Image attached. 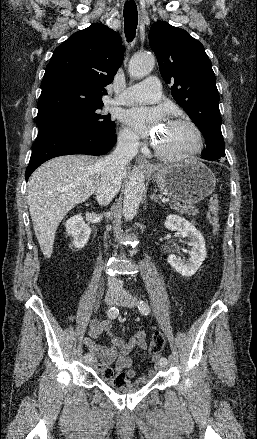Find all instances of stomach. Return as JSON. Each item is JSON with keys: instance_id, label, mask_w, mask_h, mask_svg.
Wrapping results in <instances>:
<instances>
[{"instance_id": "obj_1", "label": "stomach", "mask_w": 257, "mask_h": 439, "mask_svg": "<svg viewBox=\"0 0 257 439\" xmlns=\"http://www.w3.org/2000/svg\"><path fill=\"white\" fill-rule=\"evenodd\" d=\"M152 177L164 194L188 205L204 200L216 186L214 173L195 159L163 166Z\"/></svg>"}]
</instances>
